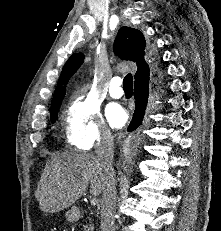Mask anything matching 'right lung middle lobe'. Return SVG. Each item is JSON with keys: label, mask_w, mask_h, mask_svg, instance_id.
Wrapping results in <instances>:
<instances>
[{"label": "right lung middle lobe", "mask_w": 221, "mask_h": 231, "mask_svg": "<svg viewBox=\"0 0 221 231\" xmlns=\"http://www.w3.org/2000/svg\"><path fill=\"white\" fill-rule=\"evenodd\" d=\"M60 103H58L56 106H54L53 108H51V111H50V118H51V121L54 122L56 120V117H57V112L59 110V107H60Z\"/></svg>", "instance_id": "right-lung-middle-lobe-1"}]
</instances>
